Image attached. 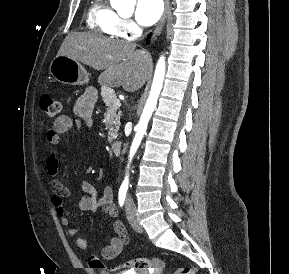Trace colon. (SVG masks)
Returning <instances> with one entry per match:
<instances>
[{
	"label": "colon",
	"instance_id": "1",
	"mask_svg": "<svg viewBox=\"0 0 289 274\" xmlns=\"http://www.w3.org/2000/svg\"><path fill=\"white\" fill-rule=\"evenodd\" d=\"M40 108L49 117H55L61 110V104L58 100L52 98L49 95H43L40 98ZM88 263L90 268L102 270L103 274H108L109 271H116L119 269H126L127 271H155L164 268L165 263L160 259L149 258H136L127 262H124L116 267H106L102 260L95 254H91L88 257ZM196 269L191 266H184L178 268L173 274H195Z\"/></svg>",
	"mask_w": 289,
	"mask_h": 274
}]
</instances>
